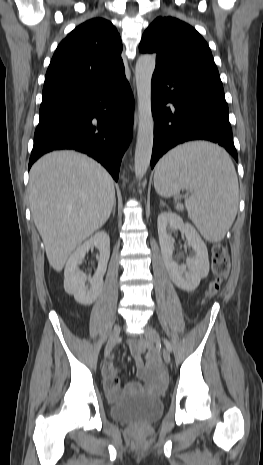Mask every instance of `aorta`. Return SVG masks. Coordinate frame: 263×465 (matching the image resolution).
<instances>
[{"label": "aorta", "mask_w": 263, "mask_h": 465, "mask_svg": "<svg viewBox=\"0 0 263 465\" xmlns=\"http://www.w3.org/2000/svg\"><path fill=\"white\" fill-rule=\"evenodd\" d=\"M156 65L155 55H141L135 67V79L138 98L139 124L134 158V171L141 179L150 165L154 121L151 111V80Z\"/></svg>", "instance_id": "obj_1"}]
</instances>
